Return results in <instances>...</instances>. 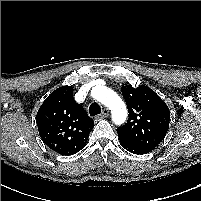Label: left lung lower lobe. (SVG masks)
<instances>
[{
  "mask_svg": "<svg viewBox=\"0 0 201 201\" xmlns=\"http://www.w3.org/2000/svg\"><path fill=\"white\" fill-rule=\"evenodd\" d=\"M120 143L122 145L123 148H125L127 151L131 152V153H134V154H146L150 151L142 148V147H139V146H136V145H133L125 140H123L122 138H120Z\"/></svg>",
  "mask_w": 201,
  "mask_h": 201,
  "instance_id": "0a47b994",
  "label": "left lung lower lobe"
}]
</instances>
